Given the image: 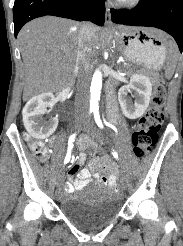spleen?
I'll use <instances>...</instances> for the list:
<instances>
[{
	"instance_id": "3e777b00",
	"label": "spleen",
	"mask_w": 183,
	"mask_h": 246,
	"mask_svg": "<svg viewBox=\"0 0 183 246\" xmlns=\"http://www.w3.org/2000/svg\"><path fill=\"white\" fill-rule=\"evenodd\" d=\"M168 47H169V63H168V67L165 70V76L167 78H171L175 70L178 52L173 42H168Z\"/></svg>"
}]
</instances>
